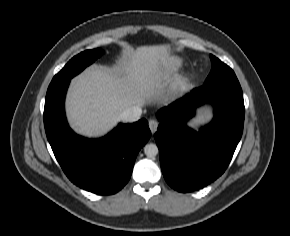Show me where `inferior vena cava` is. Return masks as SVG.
Here are the masks:
<instances>
[{"label": "inferior vena cava", "mask_w": 290, "mask_h": 236, "mask_svg": "<svg viewBox=\"0 0 290 236\" xmlns=\"http://www.w3.org/2000/svg\"><path fill=\"white\" fill-rule=\"evenodd\" d=\"M142 113V109L139 106H132L121 113L120 119L125 122L137 121Z\"/></svg>", "instance_id": "obj_1"}]
</instances>
